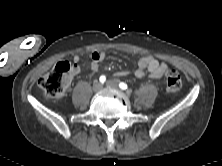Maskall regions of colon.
Masks as SVG:
<instances>
[{
	"instance_id": "5ec220e1",
	"label": "colon",
	"mask_w": 222,
	"mask_h": 166,
	"mask_svg": "<svg viewBox=\"0 0 222 166\" xmlns=\"http://www.w3.org/2000/svg\"><path fill=\"white\" fill-rule=\"evenodd\" d=\"M75 68L76 65H71L67 61L59 62L39 79L38 85L49 98L61 99L72 80ZM165 85L169 92H177L182 88V79L177 70L166 71Z\"/></svg>"
}]
</instances>
